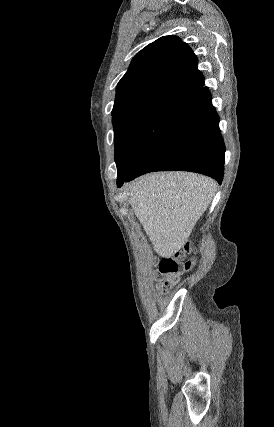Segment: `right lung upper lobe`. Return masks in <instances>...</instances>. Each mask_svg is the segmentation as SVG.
Instances as JSON below:
<instances>
[{
    "mask_svg": "<svg viewBox=\"0 0 274 427\" xmlns=\"http://www.w3.org/2000/svg\"><path fill=\"white\" fill-rule=\"evenodd\" d=\"M204 87L197 58L176 36H163L141 50L116 88L113 109L160 96L176 104Z\"/></svg>",
    "mask_w": 274,
    "mask_h": 427,
    "instance_id": "1",
    "label": "right lung upper lobe"
}]
</instances>
